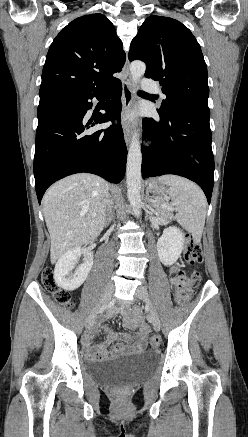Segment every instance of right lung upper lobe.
I'll return each instance as SVG.
<instances>
[{"instance_id": "obj_1", "label": "right lung upper lobe", "mask_w": 248, "mask_h": 437, "mask_svg": "<svg viewBox=\"0 0 248 437\" xmlns=\"http://www.w3.org/2000/svg\"><path fill=\"white\" fill-rule=\"evenodd\" d=\"M126 54L111 21L100 13L70 22L53 40L42 72L39 95L89 93L117 78Z\"/></svg>"}]
</instances>
